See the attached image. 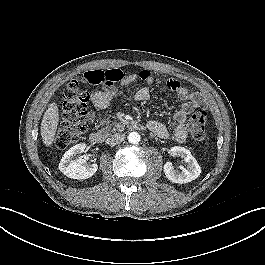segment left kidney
Masks as SVG:
<instances>
[{
    "instance_id": "obj_1",
    "label": "left kidney",
    "mask_w": 265,
    "mask_h": 265,
    "mask_svg": "<svg viewBox=\"0 0 265 265\" xmlns=\"http://www.w3.org/2000/svg\"><path fill=\"white\" fill-rule=\"evenodd\" d=\"M170 152L173 156L181 157L187 163V167H182V171L177 172L171 162H166L164 165V173L168 180L173 183L183 184L198 178L201 173L200 166L188 149L174 146L171 148Z\"/></svg>"
}]
</instances>
